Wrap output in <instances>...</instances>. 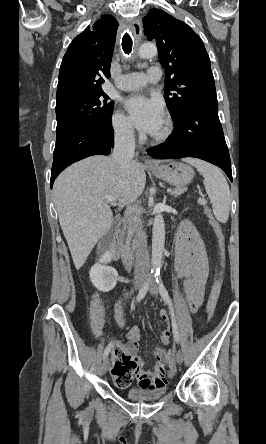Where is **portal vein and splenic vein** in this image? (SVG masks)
<instances>
[{
	"label": "portal vein and splenic vein",
	"instance_id": "portal-vein-and-splenic-vein-1",
	"mask_svg": "<svg viewBox=\"0 0 266 444\" xmlns=\"http://www.w3.org/2000/svg\"><path fill=\"white\" fill-rule=\"evenodd\" d=\"M167 192H168V193H171L172 190H171V189H168ZM103 198H104L108 203L116 202V197H113V196H104Z\"/></svg>",
	"mask_w": 266,
	"mask_h": 444
}]
</instances>
